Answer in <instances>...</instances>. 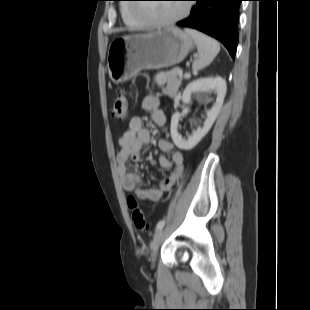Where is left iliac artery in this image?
I'll return each instance as SVG.
<instances>
[{
    "instance_id": "44dca946",
    "label": "left iliac artery",
    "mask_w": 310,
    "mask_h": 310,
    "mask_svg": "<svg viewBox=\"0 0 310 310\" xmlns=\"http://www.w3.org/2000/svg\"><path fill=\"white\" fill-rule=\"evenodd\" d=\"M164 225H165V220L159 221V222L157 223V225H156V231L162 229V228L164 227Z\"/></svg>"
}]
</instances>
